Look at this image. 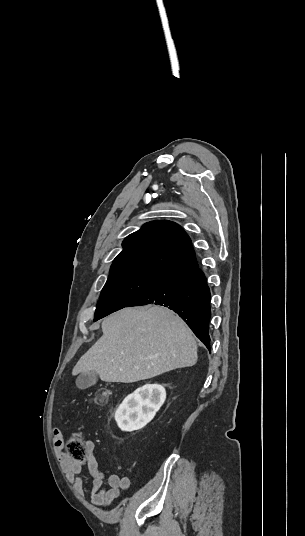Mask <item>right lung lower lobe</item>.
Masks as SVG:
<instances>
[{"label": "right lung lower lobe", "mask_w": 305, "mask_h": 536, "mask_svg": "<svg viewBox=\"0 0 305 536\" xmlns=\"http://www.w3.org/2000/svg\"><path fill=\"white\" fill-rule=\"evenodd\" d=\"M146 304L175 311L210 350V290L197 263L166 276L127 307Z\"/></svg>", "instance_id": "1"}]
</instances>
